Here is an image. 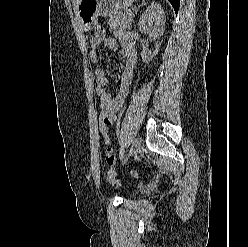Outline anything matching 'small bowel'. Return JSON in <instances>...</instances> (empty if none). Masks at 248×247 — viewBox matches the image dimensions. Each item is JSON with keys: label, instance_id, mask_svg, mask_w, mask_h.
Instances as JSON below:
<instances>
[{"label": "small bowel", "instance_id": "obj_1", "mask_svg": "<svg viewBox=\"0 0 248 247\" xmlns=\"http://www.w3.org/2000/svg\"><path fill=\"white\" fill-rule=\"evenodd\" d=\"M118 37L123 48L125 65L117 84V93L115 96H112L107 91L110 82L107 79L105 72L100 68L94 71L96 95L100 108L99 128L106 146L105 160L109 166H114L116 164V156L113 152L112 142L109 137V126L116 121L117 113L121 110L129 94L130 86L133 81L134 65L137 60L135 44L132 37L126 32H119ZM102 43L111 51H117L119 48V43L114 38L104 37L100 39L92 36L90 38V59L93 63L99 61L97 50Z\"/></svg>", "mask_w": 248, "mask_h": 247}]
</instances>
